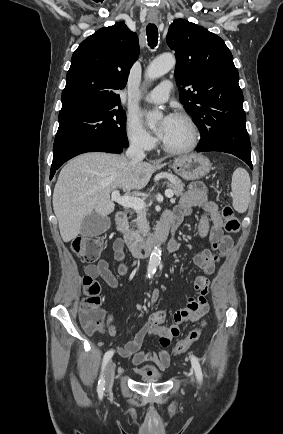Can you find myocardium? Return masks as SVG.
I'll list each match as a JSON object with an SVG mask.
<instances>
[{
    "mask_svg": "<svg viewBox=\"0 0 283 434\" xmlns=\"http://www.w3.org/2000/svg\"><path fill=\"white\" fill-rule=\"evenodd\" d=\"M175 117L181 119L187 125L190 133L189 142L182 147H171L167 145L164 141H162V148L167 153L173 155L187 154L197 147L200 138L199 130L192 117L187 113L178 112L175 114Z\"/></svg>",
    "mask_w": 283,
    "mask_h": 434,
    "instance_id": "myocardium-1",
    "label": "myocardium"
}]
</instances>
